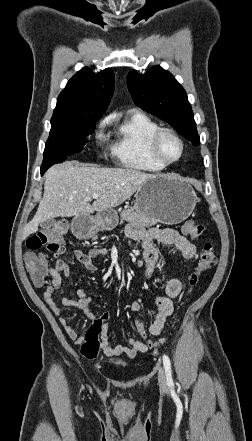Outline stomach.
Masks as SVG:
<instances>
[{
  "label": "stomach",
  "mask_w": 252,
  "mask_h": 441,
  "mask_svg": "<svg viewBox=\"0 0 252 441\" xmlns=\"http://www.w3.org/2000/svg\"><path fill=\"white\" fill-rule=\"evenodd\" d=\"M197 201L195 191L185 180L175 176L155 175L137 190L133 208L149 218L173 225L186 220ZM87 223L90 225V233L111 230L117 226L118 215L114 209H107L98 212L95 217L87 218Z\"/></svg>",
  "instance_id": "0dacf381"
}]
</instances>
